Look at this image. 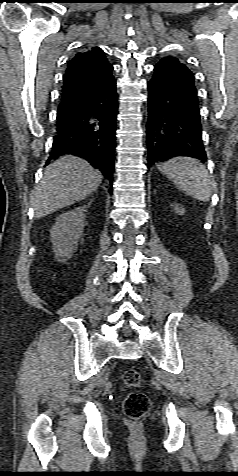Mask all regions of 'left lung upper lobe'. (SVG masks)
<instances>
[{
	"label": "left lung upper lobe",
	"instance_id": "1",
	"mask_svg": "<svg viewBox=\"0 0 238 476\" xmlns=\"http://www.w3.org/2000/svg\"><path fill=\"white\" fill-rule=\"evenodd\" d=\"M155 66L168 71L169 75L175 78L186 89L195 92L193 73L175 57L162 58Z\"/></svg>",
	"mask_w": 238,
	"mask_h": 476
}]
</instances>
